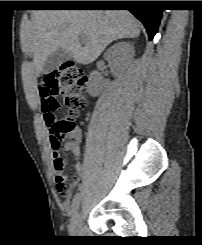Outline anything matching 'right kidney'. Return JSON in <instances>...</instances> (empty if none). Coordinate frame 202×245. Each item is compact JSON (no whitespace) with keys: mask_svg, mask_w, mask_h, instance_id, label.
Returning a JSON list of instances; mask_svg holds the SVG:
<instances>
[{"mask_svg":"<svg viewBox=\"0 0 202 245\" xmlns=\"http://www.w3.org/2000/svg\"><path fill=\"white\" fill-rule=\"evenodd\" d=\"M134 56V45L125 41L114 44L104 54V58L110 63L111 69L115 74L125 70L132 62ZM102 89L103 81L100 73L94 70L90 74L87 91L91 96L96 97Z\"/></svg>","mask_w":202,"mask_h":245,"instance_id":"obj_1","label":"right kidney"}]
</instances>
